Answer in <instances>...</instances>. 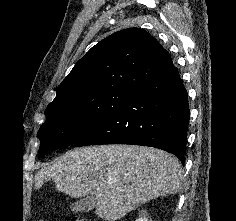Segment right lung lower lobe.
<instances>
[{"mask_svg": "<svg viewBox=\"0 0 236 221\" xmlns=\"http://www.w3.org/2000/svg\"><path fill=\"white\" fill-rule=\"evenodd\" d=\"M189 116L188 94L173 66L140 88L74 147L149 146L170 152L184 163Z\"/></svg>", "mask_w": 236, "mask_h": 221, "instance_id": "right-lung-lower-lobe-1", "label": "right lung lower lobe"}]
</instances>
